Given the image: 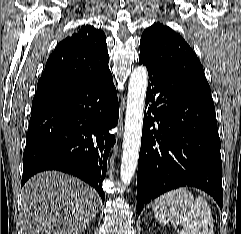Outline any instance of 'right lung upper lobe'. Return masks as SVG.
Returning <instances> with one entry per match:
<instances>
[{"instance_id": "cb5924a9", "label": "right lung upper lobe", "mask_w": 241, "mask_h": 234, "mask_svg": "<svg viewBox=\"0 0 241 234\" xmlns=\"http://www.w3.org/2000/svg\"><path fill=\"white\" fill-rule=\"evenodd\" d=\"M103 31L83 25L62 40L47 60L34 98L84 87L110 73Z\"/></svg>"}]
</instances>
